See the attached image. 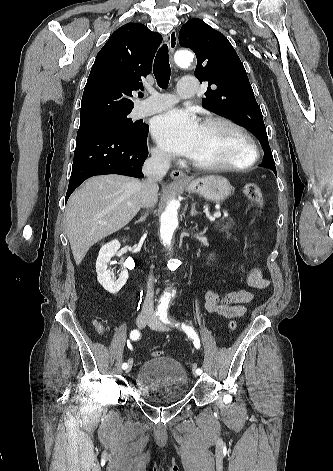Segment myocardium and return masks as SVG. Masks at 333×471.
I'll use <instances>...</instances> for the list:
<instances>
[{
  "mask_svg": "<svg viewBox=\"0 0 333 471\" xmlns=\"http://www.w3.org/2000/svg\"><path fill=\"white\" fill-rule=\"evenodd\" d=\"M212 124H223L237 132L242 137L247 146V156L242 161L235 163L206 164L191 159V163L195 168L203 171H242L248 169L256 162L258 158V149L256 143L243 126L224 116L208 117L202 122L201 126H208Z\"/></svg>",
  "mask_w": 333,
  "mask_h": 471,
  "instance_id": "1",
  "label": "myocardium"
}]
</instances>
